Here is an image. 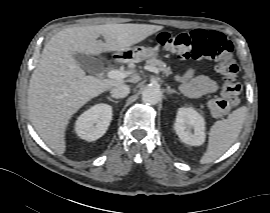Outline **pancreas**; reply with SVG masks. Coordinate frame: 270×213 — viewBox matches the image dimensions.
Wrapping results in <instances>:
<instances>
[{
  "instance_id": "1",
  "label": "pancreas",
  "mask_w": 270,
  "mask_h": 213,
  "mask_svg": "<svg viewBox=\"0 0 270 213\" xmlns=\"http://www.w3.org/2000/svg\"><path fill=\"white\" fill-rule=\"evenodd\" d=\"M146 63L150 66L156 67L157 69L162 71L163 74H165V76L167 77L172 74L171 68L167 66L165 62L157 58H150L146 61Z\"/></svg>"
}]
</instances>
